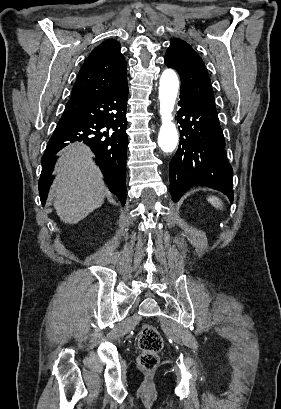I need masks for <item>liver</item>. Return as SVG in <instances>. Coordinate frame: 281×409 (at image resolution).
<instances>
[{
  "label": "liver",
  "instance_id": "liver-1",
  "mask_svg": "<svg viewBox=\"0 0 281 409\" xmlns=\"http://www.w3.org/2000/svg\"><path fill=\"white\" fill-rule=\"evenodd\" d=\"M92 152L84 144H73L62 150L56 162V176L49 196L63 223L76 225L92 211L102 207L106 186Z\"/></svg>",
  "mask_w": 281,
  "mask_h": 409
}]
</instances>
